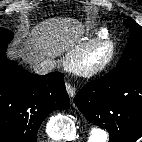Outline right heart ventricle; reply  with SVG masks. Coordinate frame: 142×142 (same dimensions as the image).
<instances>
[{
  "mask_svg": "<svg viewBox=\"0 0 142 142\" xmlns=\"http://www.w3.org/2000/svg\"><path fill=\"white\" fill-rule=\"evenodd\" d=\"M95 34H96L97 36H107L108 31H107L106 29H104V28H101V29H98V30L95 32Z\"/></svg>",
  "mask_w": 142,
  "mask_h": 142,
  "instance_id": "right-heart-ventricle-1",
  "label": "right heart ventricle"
}]
</instances>
